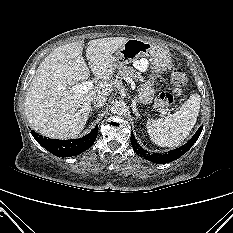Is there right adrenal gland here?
Returning <instances> with one entry per match:
<instances>
[{
	"instance_id": "right-adrenal-gland-1",
	"label": "right adrenal gland",
	"mask_w": 233,
	"mask_h": 233,
	"mask_svg": "<svg viewBox=\"0 0 233 233\" xmlns=\"http://www.w3.org/2000/svg\"><path fill=\"white\" fill-rule=\"evenodd\" d=\"M98 109H99V107H93V108H91L89 116L91 117V116H92V112H93L94 110H98Z\"/></svg>"
}]
</instances>
